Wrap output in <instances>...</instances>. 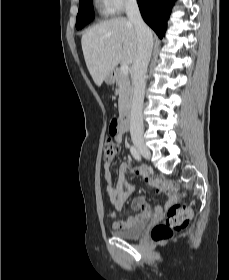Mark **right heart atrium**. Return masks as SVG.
Wrapping results in <instances>:
<instances>
[{"instance_id": "obj_1", "label": "right heart atrium", "mask_w": 229, "mask_h": 280, "mask_svg": "<svg viewBox=\"0 0 229 280\" xmlns=\"http://www.w3.org/2000/svg\"><path fill=\"white\" fill-rule=\"evenodd\" d=\"M105 14L115 15L132 5L136 0H98Z\"/></svg>"}]
</instances>
